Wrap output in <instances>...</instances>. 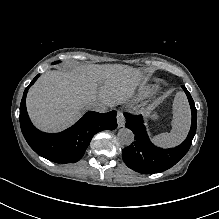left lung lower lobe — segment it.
Here are the masks:
<instances>
[{
	"label": "left lung lower lobe",
	"mask_w": 219,
	"mask_h": 219,
	"mask_svg": "<svg viewBox=\"0 0 219 219\" xmlns=\"http://www.w3.org/2000/svg\"><path fill=\"white\" fill-rule=\"evenodd\" d=\"M185 91L192 113L191 128L184 142L175 148L163 149L155 146L149 140L142 116L124 113L126 118L125 127L132 130L135 141L122 151L125 164L136 172L159 173L174 166L189 150L197 128V111L194 101L188 90Z\"/></svg>",
	"instance_id": "0a47b994"
}]
</instances>
